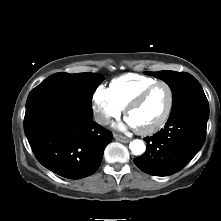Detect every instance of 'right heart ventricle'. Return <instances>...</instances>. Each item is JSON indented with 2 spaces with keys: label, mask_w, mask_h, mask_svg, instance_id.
<instances>
[{
  "label": "right heart ventricle",
  "mask_w": 221,
  "mask_h": 221,
  "mask_svg": "<svg viewBox=\"0 0 221 221\" xmlns=\"http://www.w3.org/2000/svg\"><path fill=\"white\" fill-rule=\"evenodd\" d=\"M156 81L155 78L144 75L125 74L114 78L110 83L109 89L119 107L125 109L134 97Z\"/></svg>",
  "instance_id": "e07e8e85"
}]
</instances>
